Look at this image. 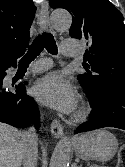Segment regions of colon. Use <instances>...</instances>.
<instances>
[{
    "instance_id": "1",
    "label": "colon",
    "mask_w": 125,
    "mask_h": 167,
    "mask_svg": "<svg viewBox=\"0 0 125 167\" xmlns=\"http://www.w3.org/2000/svg\"><path fill=\"white\" fill-rule=\"evenodd\" d=\"M117 167H125V144L119 150Z\"/></svg>"
}]
</instances>
